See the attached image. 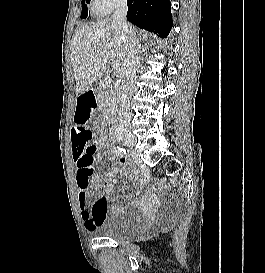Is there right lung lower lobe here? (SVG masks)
Wrapping results in <instances>:
<instances>
[{"label": "right lung lower lobe", "instance_id": "right-lung-lower-lobe-1", "mask_svg": "<svg viewBox=\"0 0 265 273\" xmlns=\"http://www.w3.org/2000/svg\"><path fill=\"white\" fill-rule=\"evenodd\" d=\"M127 19L136 26L166 37L172 28L169 0H127Z\"/></svg>", "mask_w": 265, "mask_h": 273}]
</instances>
